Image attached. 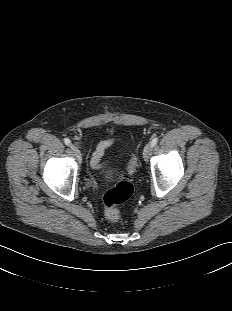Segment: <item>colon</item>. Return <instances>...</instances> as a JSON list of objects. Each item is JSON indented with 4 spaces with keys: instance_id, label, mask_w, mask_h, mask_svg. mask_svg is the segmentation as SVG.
Segmentation results:
<instances>
[{
    "instance_id": "colon-1",
    "label": "colon",
    "mask_w": 232,
    "mask_h": 311,
    "mask_svg": "<svg viewBox=\"0 0 232 311\" xmlns=\"http://www.w3.org/2000/svg\"><path fill=\"white\" fill-rule=\"evenodd\" d=\"M137 167L138 160L135 156H132L126 171L120 175L117 184L104 194V215L107 220L115 222L120 218L119 205L127 201L133 194L131 176Z\"/></svg>"
}]
</instances>
